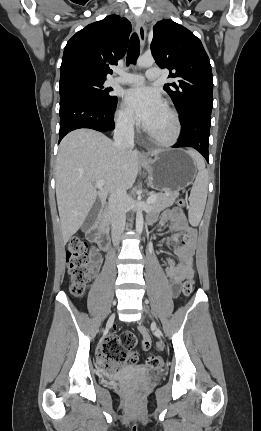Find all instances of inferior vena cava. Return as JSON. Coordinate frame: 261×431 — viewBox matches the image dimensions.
<instances>
[{
	"instance_id": "602c4592",
	"label": "inferior vena cava",
	"mask_w": 261,
	"mask_h": 431,
	"mask_svg": "<svg viewBox=\"0 0 261 431\" xmlns=\"http://www.w3.org/2000/svg\"><path fill=\"white\" fill-rule=\"evenodd\" d=\"M114 144L121 151L134 147V121L129 118L119 123L114 131ZM126 190L118 189L108 199V214L112 228V241L118 245L125 229Z\"/></svg>"
}]
</instances>
